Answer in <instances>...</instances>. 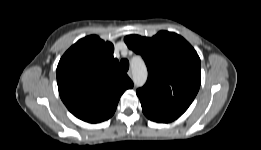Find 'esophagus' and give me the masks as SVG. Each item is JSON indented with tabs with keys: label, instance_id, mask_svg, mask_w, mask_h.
Instances as JSON below:
<instances>
[{
	"label": "esophagus",
	"instance_id": "obj_1",
	"mask_svg": "<svg viewBox=\"0 0 261 150\" xmlns=\"http://www.w3.org/2000/svg\"><path fill=\"white\" fill-rule=\"evenodd\" d=\"M127 74H128V76H129L130 78L133 77V72H132V70H129V71L127 72Z\"/></svg>",
	"mask_w": 261,
	"mask_h": 150
}]
</instances>
